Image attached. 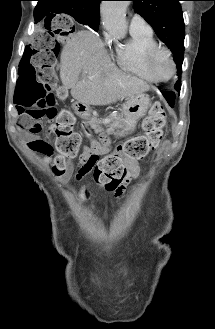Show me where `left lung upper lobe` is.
Segmentation results:
<instances>
[{
    "mask_svg": "<svg viewBox=\"0 0 215 329\" xmlns=\"http://www.w3.org/2000/svg\"><path fill=\"white\" fill-rule=\"evenodd\" d=\"M134 1V9L154 29L157 36L174 53V61L177 65V74L182 72L184 55L185 27L179 1L181 0H131ZM177 81L175 89L180 91L181 84Z\"/></svg>",
    "mask_w": 215,
    "mask_h": 329,
    "instance_id": "5c2ea615",
    "label": "left lung upper lobe"
}]
</instances>
